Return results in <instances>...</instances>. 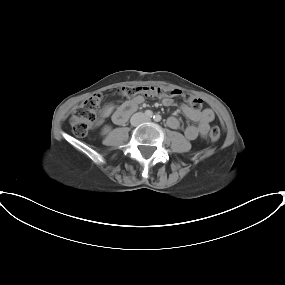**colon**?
<instances>
[{
    "label": "colon",
    "instance_id": "colon-1",
    "mask_svg": "<svg viewBox=\"0 0 285 285\" xmlns=\"http://www.w3.org/2000/svg\"><path fill=\"white\" fill-rule=\"evenodd\" d=\"M119 94L125 98H133L137 95L145 96H165V97H182L187 104L194 109H201L203 100L195 95L184 93L178 88H169L155 85H132L123 86L119 89ZM102 95L95 93L85 99L80 106H78L70 119L73 131L79 135L84 136L92 127L96 120L97 112L100 108ZM210 139L217 141L221 136V129L219 126H213L210 130Z\"/></svg>",
    "mask_w": 285,
    "mask_h": 285
}]
</instances>
